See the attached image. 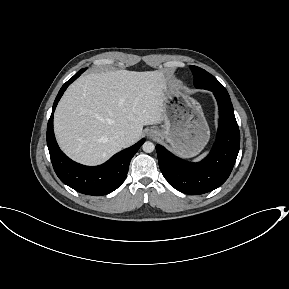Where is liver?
Listing matches in <instances>:
<instances>
[{"label":"liver","instance_id":"obj_1","mask_svg":"<svg viewBox=\"0 0 289 289\" xmlns=\"http://www.w3.org/2000/svg\"><path fill=\"white\" fill-rule=\"evenodd\" d=\"M168 85L162 72L117 70L81 76L61 98L54 114L60 148L73 160L100 164L136 143L144 125L163 121ZM124 133L120 144L116 134Z\"/></svg>","mask_w":289,"mask_h":289}]
</instances>
